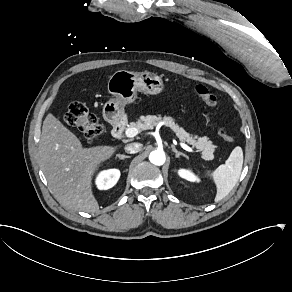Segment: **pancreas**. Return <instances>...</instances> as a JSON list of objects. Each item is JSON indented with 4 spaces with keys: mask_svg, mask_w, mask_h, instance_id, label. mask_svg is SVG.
Wrapping results in <instances>:
<instances>
[{
    "mask_svg": "<svg viewBox=\"0 0 292 292\" xmlns=\"http://www.w3.org/2000/svg\"><path fill=\"white\" fill-rule=\"evenodd\" d=\"M141 120L143 123L137 121L136 124L131 123L130 127L136 129H153L155 126L161 123L164 126L170 127L180 140H186L188 144L195 145L198 151H203L204 158H213L214 144L212 141L208 140L207 137L199 138L198 141H196L194 138H190L183 129L179 128L173 123V120L170 117L147 115L141 116Z\"/></svg>",
    "mask_w": 292,
    "mask_h": 292,
    "instance_id": "1",
    "label": "pancreas"
}]
</instances>
